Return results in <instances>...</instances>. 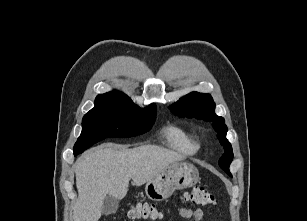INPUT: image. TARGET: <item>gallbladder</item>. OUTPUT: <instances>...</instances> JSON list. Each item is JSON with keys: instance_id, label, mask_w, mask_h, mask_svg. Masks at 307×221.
Returning a JSON list of instances; mask_svg holds the SVG:
<instances>
[{"instance_id": "bac80fb5", "label": "gallbladder", "mask_w": 307, "mask_h": 221, "mask_svg": "<svg viewBox=\"0 0 307 221\" xmlns=\"http://www.w3.org/2000/svg\"><path fill=\"white\" fill-rule=\"evenodd\" d=\"M118 206H119V200L110 195H107L104 198V201L102 204V208H101L102 214L111 215L117 211Z\"/></svg>"}]
</instances>
